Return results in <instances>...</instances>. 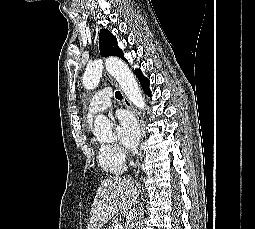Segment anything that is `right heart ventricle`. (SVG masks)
Listing matches in <instances>:
<instances>
[{
    "instance_id": "right-heart-ventricle-1",
    "label": "right heart ventricle",
    "mask_w": 255,
    "mask_h": 229,
    "mask_svg": "<svg viewBox=\"0 0 255 229\" xmlns=\"http://www.w3.org/2000/svg\"><path fill=\"white\" fill-rule=\"evenodd\" d=\"M97 158L101 168L109 174L117 175L125 170L126 165L124 162L112 158L108 145H99Z\"/></svg>"
}]
</instances>
